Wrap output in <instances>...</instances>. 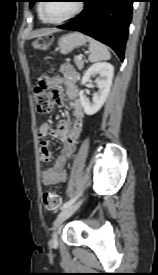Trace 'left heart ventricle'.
Masks as SVG:
<instances>
[{"mask_svg":"<svg viewBox=\"0 0 158 275\" xmlns=\"http://www.w3.org/2000/svg\"><path fill=\"white\" fill-rule=\"evenodd\" d=\"M76 5L77 1L74 0L47 1L44 5V14L50 20H60L71 14Z\"/></svg>","mask_w":158,"mask_h":275,"instance_id":"1","label":"left heart ventricle"}]
</instances>
